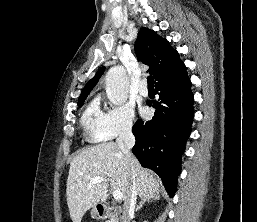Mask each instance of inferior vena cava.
Returning <instances> with one entry per match:
<instances>
[{"label": "inferior vena cava", "instance_id": "1", "mask_svg": "<svg viewBox=\"0 0 257 222\" xmlns=\"http://www.w3.org/2000/svg\"><path fill=\"white\" fill-rule=\"evenodd\" d=\"M116 143L118 147L121 149L122 153L124 154L127 163L129 165L130 171H131V178H132V189L130 196L124 201L123 205V216H122V222H128L129 216L134 213L135 204H136V187H135V181H136V169H135V162L134 158L131 153V149L135 144V137L132 133V125H126L121 133L119 134V137L116 140Z\"/></svg>", "mask_w": 257, "mask_h": 222}]
</instances>
